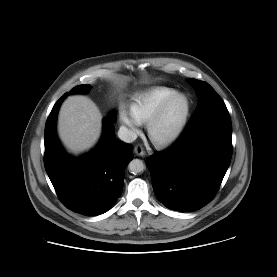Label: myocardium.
<instances>
[{
	"instance_id": "myocardium-1",
	"label": "myocardium",
	"mask_w": 277,
	"mask_h": 277,
	"mask_svg": "<svg viewBox=\"0 0 277 277\" xmlns=\"http://www.w3.org/2000/svg\"><path fill=\"white\" fill-rule=\"evenodd\" d=\"M178 97H182L186 101V108L181 121L179 122L175 130L169 135L164 137L156 136L155 128L157 124L161 120L168 106ZM190 113H191V101L187 94H185L184 92L177 91L171 96H169L166 100H164L160 104V106L156 109V111L152 114V116L149 118V120L146 123L147 135L150 141L157 147H166L174 143L184 132L190 117Z\"/></svg>"
}]
</instances>
